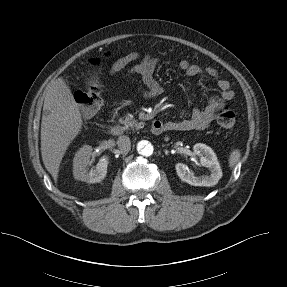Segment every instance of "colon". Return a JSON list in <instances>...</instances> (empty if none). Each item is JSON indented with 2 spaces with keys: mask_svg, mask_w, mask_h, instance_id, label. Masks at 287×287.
Returning <instances> with one entry per match:
<instances>
[{
  "mask_svg": "<svg viewBox=\"0 0 287 287\" xmlns=\"http://www.w3.org/2000/svg\"><path fill=\"white\" fill-rule=\"evenodd\" d=\"M92 65L97 67L100 65V62L93 60ZM74 98L81 107L84 116L91 117L96 114L102 105V90L97 75H89L85 81V89L76 91ZM216 120L226 131L231 132L235 128V113L225 105L217 109Z\"/></svg>",
  "mask_w": 287,
  "mask_h": 287,
  "instance_id": "1",
  "label": "colon"
}]
</instances>
